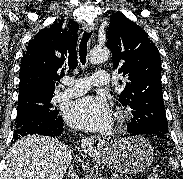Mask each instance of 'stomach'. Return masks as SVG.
Instances as JSON below:
<instances>
[{
  "label": "stomach",
  "mask_w": 183,
  "mask_h": 179,
  "mask_svg": "<svg viewBox=\"0 0 183 179\" xmlns=\"http://www.w3.org/2000/svg\"><path fill=\"white\" fill-rule=\"evenodd\" d=\"M97 157L115 172L133 174L151 165L153 148L144 137L129 136L118 140L110 148H103Z\"/></svg>",
  "instance_id": "1"
}]
</instances>
